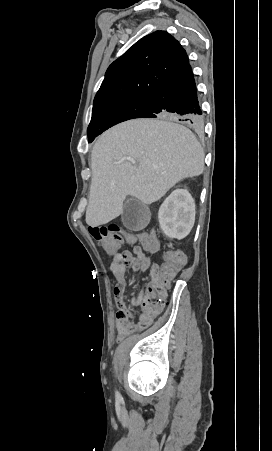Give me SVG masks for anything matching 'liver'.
I'll return each mask as SVG.
<instances>
[{
	"label": "liver",
	"instance_id": "6515ba94",
	"mask_svg": "<svg viewBox=\"0 0 272 451\" xmlns=\"http://www.w3.org/2000/svg\"><path fill=\"white\" fill-rule=\"evenodd\" d=\"M175 122L177 116L129 120L99 136L91 154L88 226L118 218L127 196L153 204L177 182L202 174L203 148L191 130Z\"/></svg>",
	"mask_w": 272,
	"mask_h": 451
}]
</instances>
